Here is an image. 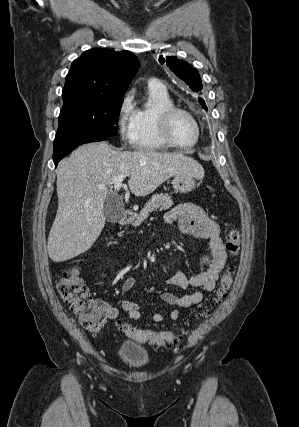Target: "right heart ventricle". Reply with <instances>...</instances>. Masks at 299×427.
I'll return each instance as SVG.
<instances>
[{
	"label": "right heart ventricle",
	"instance_id": "1",
	"mask_svg": "<svg viewBox=\"0 0 299 427\" xmlns=\"http://www.w3.org/2000/svg\"><path fill=\"white\" fill-rule=\"evenodd\" d=\"M174 105L167 90L148 86L147 103L136 108V136L134 146L141 150L160 151L168 145L160 136L157 122L158 112Z\"/></svg>",
	"mask_w": 299,
	"mask_h": 427
}]
</instances>
